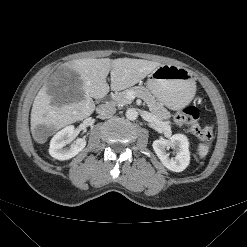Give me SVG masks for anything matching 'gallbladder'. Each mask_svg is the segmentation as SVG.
<instances>
[{
    "instance_id": "bac80fb5",
    "label": "gallbladder",
    "mask_w": 247,
    "mask_h": 247,
    "mask_svg": "<svg viewBox=\"0 0 247 247\" xmlns=\"http://www.w3.org/2000/svg\"><path fill=\"white\" fill-rule=\"evenodd\" d=\"M81 81L77 72L68 67L57 69L47 80L46 92L52 102L60 105L78 98Z\"/></svg>"
}]
</instances>
